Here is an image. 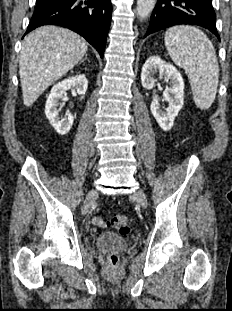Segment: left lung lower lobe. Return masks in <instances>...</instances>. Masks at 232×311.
<instances>
[{
    "instance_id": "obj_1",
    "label": "left lung lower lobe",
    "mask_w": 232,
    "mask_h": 311,
    "mask_svg": "<svg viewBox=\"0 0 232 311\" xmlns=\"http://www.w3.org/2000/svg\"><path fill=\"white\" fill-rule=\"evenodd\" d=\"M179 24L202 26L220 39L212 0H158L145 37Z\"/></svg>"
}]
</instances>
